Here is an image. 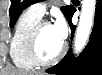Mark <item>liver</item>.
<instances>
[{
  "label": "liver",
  "mask_w": 102,
  "mask_h": 75,
  "mask_svg": "<svg viewBox=\"0 0 102 75\" xmlns=\"http://www.w3.org/2000/svg\"><path fill=\"white\" fill-rule=\"evenodd\" d=\"M3 75H36V74H32V73L28 74L27 72L20 71L17 69H10L5 71Z\"/></svg>",
  "instance_id": "6515ba94"
}]
</instances>
